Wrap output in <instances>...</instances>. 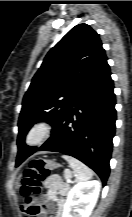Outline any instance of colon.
I'll return each mask as SVG.
<instances>
[{"label": "colon", "instance_id": "colon-1", "mask_svg": "<svg viewBox=\"0 0 132 217\" xmlns=\"http://www.w3.org/2000/svg\"><path fill=\"white\" fill-rule=\"evenodd\" d=\"M55 167V163L51 160L34 157L24 172L22 179L21 192L23 196L29 198L31 194H38L42 181L50 174ZM41 209L33 206L28 210V217H37Z\"/></svg>", "mask_w": 132, "mask_h": 217}]
</instances>
